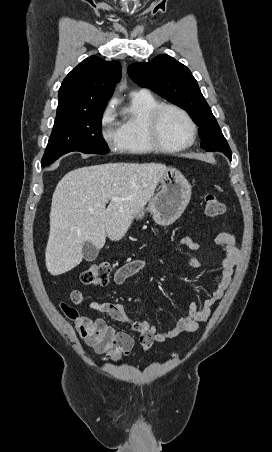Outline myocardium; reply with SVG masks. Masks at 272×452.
<instances>
[{"instance_id": "f54148a6", "label": "myocardium", "mask_w": 272, "mask_h": 452, "mask_svg": "<svg viewBox=\"0 0 272 452\" xmlns=\"http://www.w3.org/2000/svg\"><path fill=\"white\" fill-rule=\"evenodd\" d=\"M167 109L174 110L178 113H180L186 120L189 126L190 134L189 138L186 142L176 145V146H169L166 143H164L160 137V130H159V122L160 118L163 114V112ZM197 135V126L192 119V117L189 115V113L183 109L182 107L171 104V103H161L157 108H155L152 113L150 114L148 120H147V136L152 144V146L159 151L163 152H179L182 151L188 147H190Z\"/></svg>"}]
</instances>
